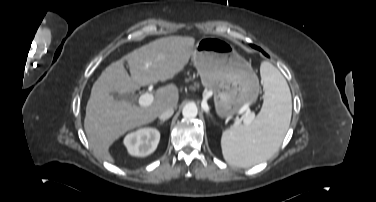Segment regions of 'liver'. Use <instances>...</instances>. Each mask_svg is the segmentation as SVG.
Segmentation results:
<instances>
[{"mask_svg":"<svg viewBox=\"0 0 376 202\" xmlns=\"http://www.w3.org/2000/svg\"><path fill=\"white\" fill-rule=\"evenodd\" d=\"M194 44L193 37L160 38L105 68L92 87L84 119L85 132L95 154L114 163L109 148L120 136L152 122L165 109L177 107L179 94L173 84L157 89L149 106L139 107L117 100L112 93H133L141 86L172 79L189 62ZM124 61L129 65L131 76Z\"/></svg>","mask_w":376,"mask_h":202,"instance_id":"1","label":"liver"}]
</instances>
